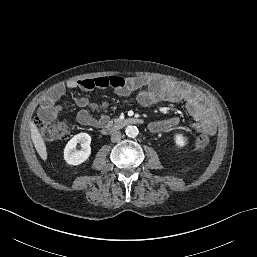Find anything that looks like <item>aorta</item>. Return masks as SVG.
<instances>
[{"label": "aorta", "instance_id": "obj_1", "mask_svg": "<svg viewBox=\"0 0 257 257\" xmlns=\"http://www.w3.org/2000/svg\"><path fill=\"white\" fill-rule=\"evenodd\" d=\"M125 133L128 137H136L139 133V130L136 126L129 125L125 129Z\"/></svg>", "mask_w": 257, "mask_h": 257}]
</instances>
